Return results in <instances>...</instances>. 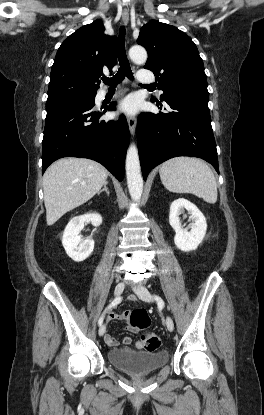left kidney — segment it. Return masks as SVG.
Here are the masks:
<instances>
[{
	"label": "left kidney",
	"mask_w": 264,
	"mask_h": 415,
	"mask_svg": "<svg viewBox=\"0 0 264 415\" xmlns=\"http://www.w3.org/2000/svg\"><path fill=\"white\" fill-rule=\"evenodd\" d=\"M185 210L190 214L189 221H192L187 228H184L179 218ZM169 223L176 233L174 237L176 247L184 252L196 250L206 235L207 223L204 215L193 203L184 198H178L171 203Z\"/></svg>",
	"instance_id": "obj_1"
}]
</instances>
